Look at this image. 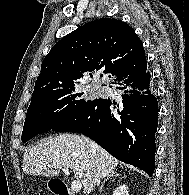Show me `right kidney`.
I'll return each mask as SVG.
<instances>
[{
	"mask_svg": "<svg viewBox=\"0 0 189 195\" xmlns=\"http://www.w3.org/2000/svg\"><path fill=\"white\" fill-rule=\"evenodd\" d=\"M113 195H129L128 186L123 184L113 191Z\"/></svg>",
	"mask_w": 189,
	"mask_h": 195,
	"instance_id": "ca27d5eb",
	"label": "right kidney"
}]
</instances>
